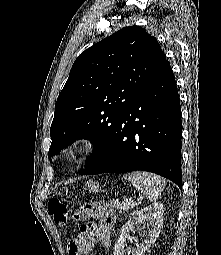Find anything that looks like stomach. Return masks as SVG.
I'll return each instance as SVG.
<instances>
[{
  "instance_id": "0dacf381",
  "label": "stomach",
  "mask_w": 221,
  "mask_h": 255,
  "mask_svg": "<svg viewBox=\"0 0 221 255\" xmlns=\"http://www.w3.org/2000/svg\"><path fill=\"white\" fill-rule=\"evenodd\" d=\"M87 190L90 192H98L100 190L99 184L97 182L88 181L86 184Z\"/></svg>"
}]
</instances>
